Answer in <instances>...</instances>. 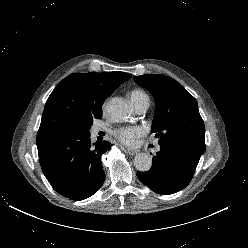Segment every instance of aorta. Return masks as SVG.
<instances>
[{
	"label": "aorta",
	"instance_id": "1",
	"mask_svg": "<svg viewBox=\"0 0 248 248\" xmlns=\"http://www.w3.org/2000/svg\"><path fill=\"white\" fill-rule=\"evenodd\" d=\"M108 113L115 122L126 121L133 113L131 106L122 98H113L108 104ZM134 166L141 172L152 167V157L147 153H139L134 157Z\"/></svg>",
	"mask_w": 248,
	"mask_h": 248
}]
</instances>
